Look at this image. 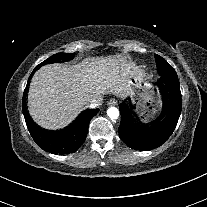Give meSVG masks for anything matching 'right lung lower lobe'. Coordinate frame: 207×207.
<instances>
[{"instance_id":"obj_1","label":"right lung lower lobe","mask_w":207,"mask_h":207,"mask_svg":"<svg viewBox=\"0 0 207 207\" xmlns=\"http://www.w3.org/2000/svg\"><path fill=\"white\" fill-rule=\"evenodd\" d=\"M36 68L33 70V72L36 70ZM31 76L29 77V80ZM26 91L27 87L23 95V114L28 130L34 141L43 150L54 154H69L77 151L84 142L87 135L89 122L97 113L98 109L84 110L71 125L61 131H46L41 129L31 120L26 108Z\"/></svg>"}]
</instances>
